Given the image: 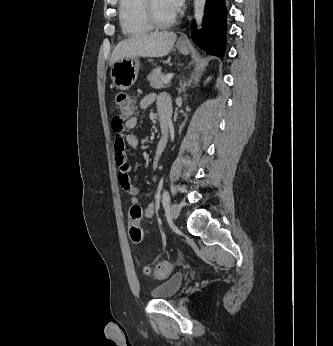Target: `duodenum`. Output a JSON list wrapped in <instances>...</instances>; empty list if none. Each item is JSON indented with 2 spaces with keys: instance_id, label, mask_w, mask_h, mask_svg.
Listing matches in <instances>:
<instances>
[{
  "instance_id": "410a0bca",
  "label": "duodenum",
  "mask_w": 333,
  "mask_h": 346,
  "mask_svg": "<svg viewBox=\"0 0 333 346\" xmlns=\"http://www.w3.org/2000/svg\"><path fill=\"white\" fill-rule=\"evenodd\" d=\"M159 128H160V133H161L162 137L165 138L169 133L170 119H168L165 116H160L159 117Z\"/></svg>"
}]
</instances>
